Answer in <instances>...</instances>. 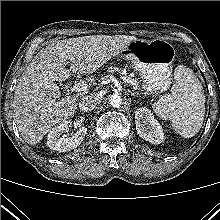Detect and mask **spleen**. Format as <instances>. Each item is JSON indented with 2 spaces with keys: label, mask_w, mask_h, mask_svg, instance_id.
<instances>
[{
  "label": "spleen",
  "mask_w": 220,
  "mask_h": 220,
  "mask_svg": "<svg viewBox=\"0 0 220 220\" xmlns=\"http://www.w3.org/2000/svg\"><path fill=\"white\" fill-rule=\"evenodd\" d=\"M174 80L171 93L158 99L153 109L160 117L169 119L182 137L190 138L197 134L203 124V87L192 70L183 65L175 68Z\"/></svg>",
  "instance_id": "3e777b00"
}]
</instances>
